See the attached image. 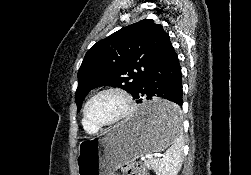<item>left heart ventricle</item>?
<instances>
[{
  "instance_id": "obj_1",
  "label": "left heart ventricle",
  "mask_w": 251,
  "mask_h": 175,
  "mask_svg": "<svg viewBox=\"0 0 251 175\" xmlns=\"http://www.w3.org/2000/svg\"><path fill=\"white\" fill-rule=\"evenodd\" d=\"M126 110L123 96L116 91H109L97 96L89 106V121L108 125L119 120Z\"/></svg>"
}]
</instances>
